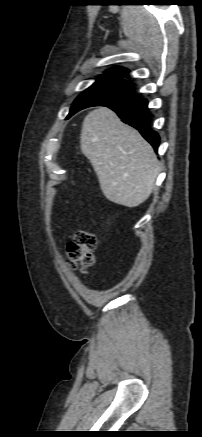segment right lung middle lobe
I'll return each instance as SVG.
<instances>
[{"label": "right lung middle lobe", "mask_w": 202, "mask_h": 437, "mask_svg": "<svg viewBox=\"0 0 202 437\" xmlns=\"http://www.w3.org/2000/svg\"><path fill=\"white\" fill-rule=\"evenodd\" d=\"M122 77L125 76L105 72L92 86L76 98L68 117L87 107L134 99L135 95L131 85Z\"/></svg>", "instance_id": "1"}]
</instances>
